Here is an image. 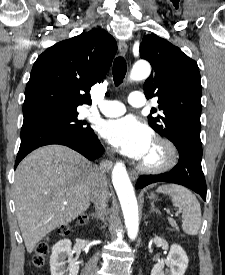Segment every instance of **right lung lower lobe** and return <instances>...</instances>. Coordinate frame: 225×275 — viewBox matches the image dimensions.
<instances>
[{"mask_svg": "<svg viewBox=\"0 0 225 275\" xmlns=\"http://www.w3.org/2000/svg\"><path fill=\"white\" fill-rule=\"evenodd\" d=\"M49 144L68 146L81 153L89 160L100 157L104 151L94 132L82 135L55 125L32 123L22 126L21 144L17 154L15 167L31 151Z\"/></svg>", "mask_w": 225, "mask_h": 275, "instance_id": "right-lung-lower-lobe-1", "label": "right lung lower lobe"}]
</instances>
